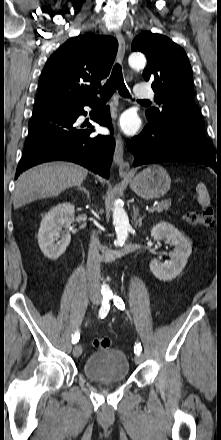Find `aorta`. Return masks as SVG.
<instances>
[{"label": "aorta", "instance_id": "obj_1", "mask_svg": "<svg viewBox=\"0 0 221 440\" xmlns=\"http://www.w3.org/2000/svg\"><path fill=\"white\" fill-rule=\"evenodd\" d=\"M128 63L132 68H144L146 65V58L143 54L135 52L128 58ZM113 224L115 226L117 239L116 245H123L128 237L130 223L128 215L120 204L119 200H115L113 209ZM104 290H108V286H103Z\"/></svg>", "mask_w": 221, "mask_h": 440}]
</instances>
